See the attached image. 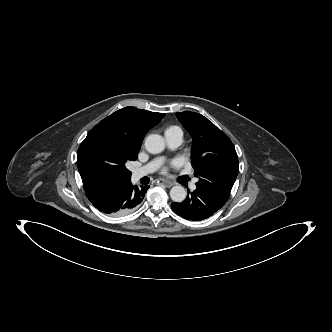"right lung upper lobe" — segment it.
Wrapping results in <instances>:
<instances>
[{
    "label": "right lung upper lobe",
    "mask_w": 332,
    "mask_h": 332,
    "mask_svg": "<svg viewBox=\"0 0 332 332\" xmlns=\"http://www.w3.org/2000/svg\"><path fill=\"white\" fill-rule=\"evenodd\" d=\"M115 113L124 115L132 125L138 128L143 138L165 116L164 113L149 112L135 107H125ZM89 185L91 184H86L84 188Z\"/></svg>",
    "instance_id": "cb5924a9"
}]
</instances>
